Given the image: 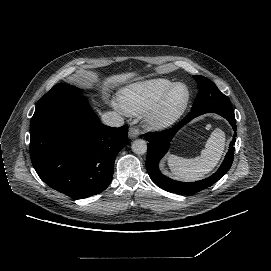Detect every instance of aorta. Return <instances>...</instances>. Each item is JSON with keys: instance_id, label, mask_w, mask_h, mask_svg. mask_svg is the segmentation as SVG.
Segmentation results:
<instances>
[{"instance_id": "762f6f07", "label": "aorta", "mask_w": 271, "mask_h": 271, "mask_svg": "<svg viewBox=\"0 0 271 271\" xmlns=\"http://www.w3.org/2000/svg\"><path fill=\"white\" fill-rule=\"evenodd\" d=\"M131 149L134 153L142 155L147 151V143L142 139H137L133 141Z\"/></svg>"}]
</instances>
